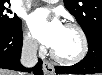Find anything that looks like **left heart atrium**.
Wrapping results in <instances>:
<instances>
[{
    "label": "left heart atrium",
    "mask_w": 102,
    "mask_h": 75,
    "mask_svg": "<svg viewBox=\"0 0 102 75\" xmlns=\"http://www.w3.org/2000/svg\"><path fill=\"white\" fill-rule=\"evenodd\" d=\"M47 15L48 12L44 10L34 12L29 20V28L33 36L43 45L53 47L63 25L57 18L48 22Z\"/></svg>",
    "instance_id": "39dd6f15"
}]
</instances>
